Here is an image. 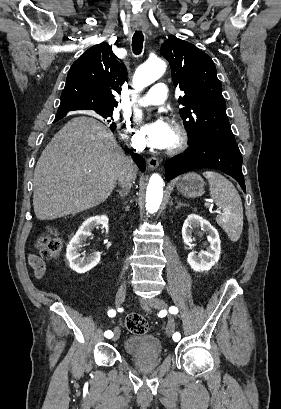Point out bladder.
Wrapping results in <instances>:
<instances>
[{
    "mask_svg": "<svg viewBox=\"0 0 281 409\" xmlns=\"http://www.w3.org/2000/svg\"><path fill=\"white\" fill-rule=\"evenodd\" d=\"M122 351L127 357L133 355H164L163 342L152 333L133 334L122 340Z\"/></svg>",
    "mask_w": 281,
    "mask_h": 409,
    "instance_id": "obj_1",
    "label": "bladder"
}]
</instances>
